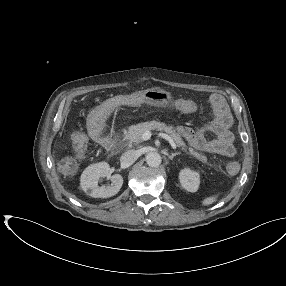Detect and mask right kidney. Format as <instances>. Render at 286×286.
Returning a JSON list of instances; mask_svg holds the SVG:
<instances>
[{"label":"right kidney","instance_id":"1","mask_svg":"<svg viewBox=\"0 0 286 286\" xmlns=\"http://www.w3.org/2000/svg\"><path fill=\"white\" fill-rule=\"evenodd\" d=\"M110 174V166L106 162H100L88 166L82 173L80 185L82 190L89 196L94 198H109L116 195L123 185V178L120 174L110 176L111 185H98V181L102 177Z\"/></svg>","mask_w":286,"mask_h":286}]
</instances>
